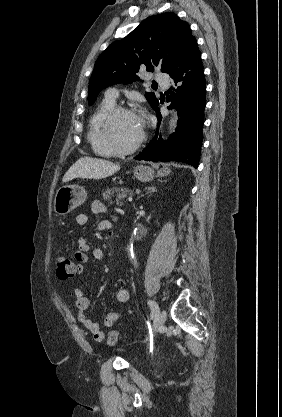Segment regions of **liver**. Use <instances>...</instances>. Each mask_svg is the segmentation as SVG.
<instances>
[{"label":"liver","mask_w":282,"mask_h":417,"mask_svg":"<svg viewBox=\"0 0 282 417\" xmlns=\"http://www.w3.org/2000/svg\"><path fill=\"white\" fill-rule=\"evenodd\" d=\"M120 170V164H115L105 158H92V156H82L78 158L67 172H65L62 182H68L72 178H106L112 176L114 172Z\"/></svg>","instance_id":"liver-1"}]
</instances>
